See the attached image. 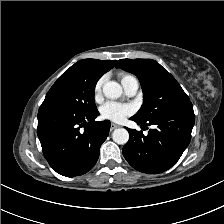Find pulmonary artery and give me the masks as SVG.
<instances>
[{
    "label": "pulmonary artery",
    "mask_w": 224,
    "mask_h": 224,
    "mask_svg": "<svg viewBox=\"0 0 224 224\" xmlns=\"http://www.w3.org/2000/svg\"><path fill=\"white\" fill-rule=\"evenodd\" d=\"M122 86L128 96H133L138 90V81L134 77H132L125 81Z\"/></svg>",
    "instance_id": "e3ab8cb5"
}]
</instances>
